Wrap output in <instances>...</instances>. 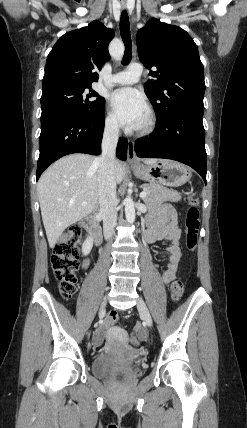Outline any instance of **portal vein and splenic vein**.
<instances>
[{"mask_svg":"<svg viewBox=\"0 0 247 428\" xmlns=\"http://www.w3.org/2000/svg\"><path fill=\"white\" fill-rule=\"evenodd\" d=\"M146 196H147V192H146V191H143V192H141V193H140V197H141V198H145ZM86 204H87L86 202H82V204H81V205H82V206H85Z\"/></svg>","mask_w":247,"mask_h":428,"instance_id":"portal-vein-and-splenic-vein-1","label":"portal vein and splenic vein"}]
</instances>
